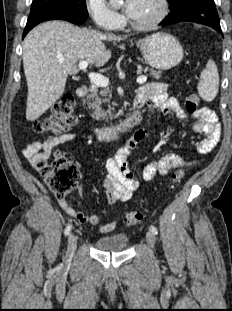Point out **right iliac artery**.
I'll list each match as a JSON object with an SVG mask.
<instances>
[{
    "label": "right iliac artery",
    "mask_w": 232,
    "mask_h": 311,
    "mask_svg": "<svg viewBox=\"0 0 232 311\" xmlns=\"http://www.w3.org/2000/svg\"><path fill=\"white\" fill-rule=\"evenodd\" d=\"M71 229H72V225L71 224L67 225L65 230H64V234L66 236L69 235V233L71 232Z\"/></svg>",
    "instance_id": "82829eb1"
}]
</instances>
